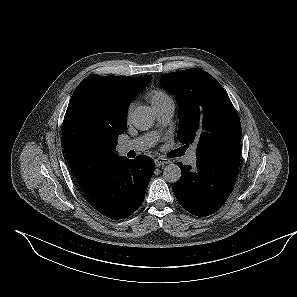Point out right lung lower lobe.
Returning <instances> with one entry per match:
<instances>
[{"label":"right lung lower lobe","mask_w":297,"mask_h":297,"mask_svg":"<svg viewBox=\"0 0 297 297\" xmlns=\"http://www.w3.org/2000/svg\"><path fill=\"white\" fill-rule=\"evenodd\" d=\"M154 168V161L147 156L139 155L135 159L119 156L86 197L106 217L127 218L142 204Z\"/></svg>","instance_id":"98d812e1"}]
</instances>
